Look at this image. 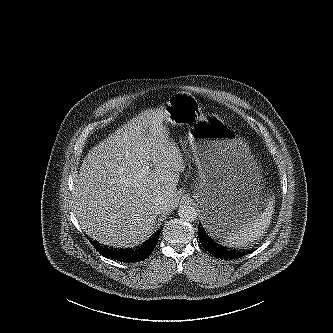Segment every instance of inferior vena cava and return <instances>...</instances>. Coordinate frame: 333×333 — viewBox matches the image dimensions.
I'll list each match as a JSON object with an SVG mask.
<instances>
[{
  "instance_id": "obj_1",
  "label": "inferior vena cava",
  "mask_w": 333,
  "mask_h": 333,
  "mask_svg": "<svg viewBox=\"0 0 333 333\" xmlns=\"http://www.w3.org/2000/svg\"><path fill=\"white\" fill-rule=\"evenodd\" d=\"M168 210V202L162 197H159L156 201V212L158 214Z\"/></svg>"
}]
</instances>
